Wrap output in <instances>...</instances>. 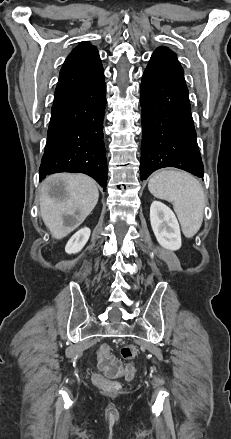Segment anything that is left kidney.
Listing matches in <instances>:
<instances>
[{
	"label": "left kidney",
	"instance_id": "5707ae66",
	"mask_svg": "<svg viewBox=\"0 0 231 439\" xmlns=\"http://www.w3.org/2000/svg\"><path fill=\"white\" fill-rule=\"evenodd\" d=\"M151 227L158 243L165 249L178 250L181 247L180 227L172 210L160 201H153L150 207Z\"/></svg>",
	"mask_w": 231,
	"mask_h": 439
}]
</instances>
